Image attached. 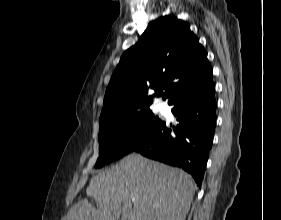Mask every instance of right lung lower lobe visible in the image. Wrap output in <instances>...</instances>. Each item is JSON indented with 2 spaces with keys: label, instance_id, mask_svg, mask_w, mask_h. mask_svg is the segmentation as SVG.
Here are the masks:
<instances>
[{
  "label": "right lung lower lobe",
  "instance_id": "obj_1",
  "mask_svg": "<svg viewBox=\"0 0 281 220\" xmlns=\"http://www.w3.org/2000/svg\"><path fill=\"white\" fill-rule=\"evenodd\" d=\"M215 84L184 92L173 98L178 129L166 123L134 151L166 164L183 168L201 188L216 122Z\"/></svg>",
  "mask_w": 281,
  "mask_h": 220
}]
</instances>
